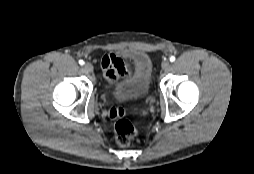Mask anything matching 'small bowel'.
Instances as JSON below:
<instances>
[{
  "label": "small bowel",
  "instance_id": "small-bowel-1",
  "mask_svg": "<svg viewBox=\"0 0 254 174\" xmlns=\"http://www.w3.org/2000/svg\"><path fill=\"white\" fill-rule=\"evenodd\" d=\"M102 68L109 85L114 87L119 80L126 77L131 72L132 66L118 56L111 54L104 56ZM116 109L117 108H111L108 110V116L111 118L115 117L114 111Z\"/></svg>",
  "mask_w": 254,
  "mask_h": 174
}]
</instances>
